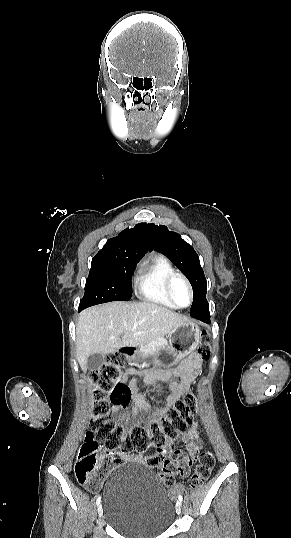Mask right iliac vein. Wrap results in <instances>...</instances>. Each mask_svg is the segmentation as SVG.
<instances>
[{
  "instance_id": "1",
  "label": "right iliac vein",
  "mask_w": 291,
  "mask_h": 538,
  "mask_svg": "<svg viewBox=\"0 0 291 538\" xmlns=\"http://www.w3.org/2000/svg\"><path fill=\"white\" fill-rule=\"evenodd\" d=\"M102 513H103V510H102V505H101V504H99V505H98V515H99V517H101V516H102Z\"/></svg>"
}]
</instances>
